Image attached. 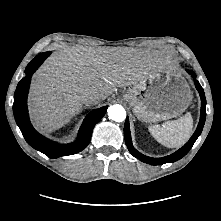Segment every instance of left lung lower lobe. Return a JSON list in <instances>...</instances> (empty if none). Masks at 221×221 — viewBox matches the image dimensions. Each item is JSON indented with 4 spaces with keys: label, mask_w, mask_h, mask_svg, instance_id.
Instances as JSON below:
<instances>
[{
    "label": "left lung lower lobe",
    "mask_w": 221,
    "mask_h": 221,
    "mask_svg": "<svg viewBox=\"0 0 221 221\" xmlns=\"http://www.w3.org/2000/svg\"><path fill=\"white\" fill-rule=\"evenodd\" d=\"M187 72L194 78L196 89L198 90L200 97H201V115H200V121H199L198 127L195 133L193 134V136L190 138V140L181 149H179L175 153L166 157L152 158V157H147L141 154L133 147L132 141H131V135H130L129 120L127 117L125 125H124L125 142H126L129 152L134 157L141 160L142 162H145L151 165H162L165 163L175 162L181 159L182 157H184L188 153V151L192 148L193 144L195 143L196 139L201 134L204 123H205V119H206V98H205L203 88L201 87L200 83L195 79L194 72L191 70H187Z\"/></svg>",
    "instance_id": "0a47b994"
}]
</instances>
